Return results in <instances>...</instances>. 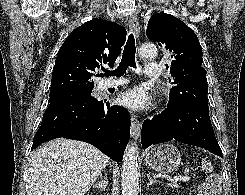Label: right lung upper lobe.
Listing matches in <instances>:
<instances>
[{"label": "right lung upper lobe", "instance_id": "1", "mask_svg": "<svg viewBox=\"0 0 245 195\" xmlns=\"http://www.w3.org/2000/svg\"><path fill=\"white\" fill-rule=\"evenodd\" d=\"M126 40V30L117 23L92 19L74 29L56 57L50 94L92 87V77L103 63L114 66Z\"/></svg>", "mask_w": 245, "mask_h": 195}]
</instances>
